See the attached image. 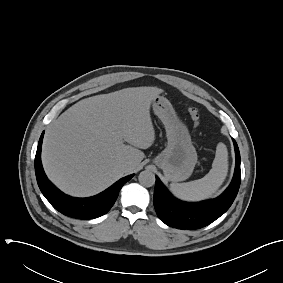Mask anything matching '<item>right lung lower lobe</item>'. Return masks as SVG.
<instances>
[{
  "instance_id": "obj_1",
  "label": "right lung lower lobe",
  "mask_w": 283,
  "mask_h": 283,
  "mask_svg": "<svg viewBox=\"0 0 283 283\" xmlns=\"http://www.w3.org/2000/svg\"><path fill=\"white\" fill-rule=\"evenodd\" d=\"M44 132L42 133L35 156V173L38 186L50 202V204L62 214L78 218V219H92L106 214L115 203L119 191L132 177L126 176L102 193L89 198H74L68 196L57 189L46 177L42 163H41V146Z\"/></svg>"
}]
</instances>
